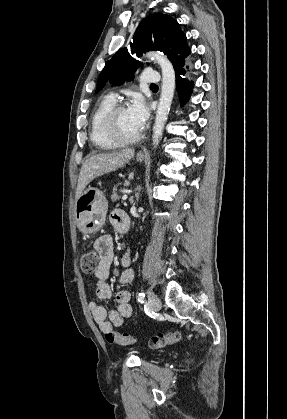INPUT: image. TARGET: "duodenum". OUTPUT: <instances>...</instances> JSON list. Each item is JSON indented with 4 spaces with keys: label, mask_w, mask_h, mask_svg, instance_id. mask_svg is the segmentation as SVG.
Masks as SVG:
<instances>
[{
    "label": "duodenum",
    "mask_w": 287,
    "mask_h": 419,
    "mask_svg": "<svg viewBox=\"0 0 287 419\" xmlns=\"http://www.w3.org/2000/svg\"><path fill=\"white\" fill-rule=\"evenodd\" d=\"M128 230V227H123L122 229H121V232H126Z\"/></svg>",
    "instance_id": "obj_1"
}]
</instances>
